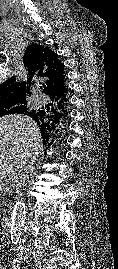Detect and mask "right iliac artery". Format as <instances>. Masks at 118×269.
Instances as JSON below:
<instances>
[{
  "mask_svg": "<svg viewBox=\"0 0 118 269\" xmlns=\"http://www.w3.org/2000/svg\"><path fill=\"white\" fill-rule=\"evenodd\" d=\"M12 269H20V261L18 259H14L11 262Z\"/></svg>",
  "mask_w": 118,
  "mask_h": 269,
  "instance_id": "1",
  "label": "right iliac artery"
}]
</instances>
